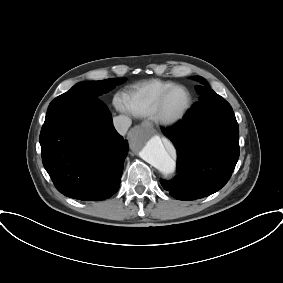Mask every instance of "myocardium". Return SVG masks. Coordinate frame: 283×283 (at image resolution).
Segmentation results:
<instances>
[{"label": "myocardium", "instance_id": "f54148a6", "mask_svg": "<svg viewBox=\"0 0 283 283\" xmlns=\"http://www.w3.org/2000/svg\"><path fill=\"white\" fill-rule=\"evenodd\" d=\"M176 90L185 91L187 95V102L185 106L178 113L170 114L165 111L164 104L168 96ZM192 105H193V97L190 90L183 85L174 84L173 86L166 89L160 95V97L157 100L152 117L156 123L162 126H166V127L174 126L179 122H181L187 116V114L192 108Z\"/></svg>", "mask_w": 283, "mask_h": 283}]
</instances>
